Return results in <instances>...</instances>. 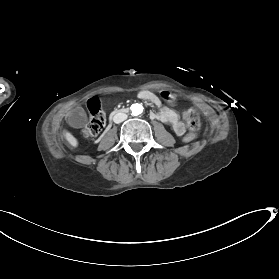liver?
<instances>
[{
    "label": "liver",
    "instance_id": "liver-1",
    "mask_svg": "<svg viewBox=\"0 0 279 279\" xmlns=\"http://www.w3.org/2000/svg\"><path fill=\"white\" fill-rule=\"evenodd\" d=\"M65 137L72 147H77L78 145L77 139L71 133L66 132Z\"/></svg>",
    "mask_w": 279,
    "mask_h": 279
}]
</instances>
